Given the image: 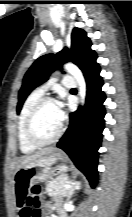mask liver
<instances>
[{
	"label": "liver",
	"instance_id": "obj_1",
	"mask_svg": "<svg viewBox=\"0 0 132 217\" xmlns=\"http://www.w3.org/2000/svg\"><path fill=\"white\" fill-rule=\"evenodd\" d=\"M57 151H59V150L56 148H46V149L38 151L32 155L23 156V157L19 158V160L17 161L16 170H18L19 168L23 167L24 165L28 164L31 161L39 159L43 156L51 155Z\"/></svg>",
	"mask_w": 132,
	"mask_h": 217
}]
</instances>
